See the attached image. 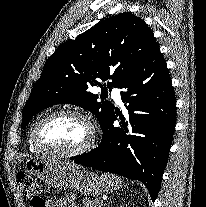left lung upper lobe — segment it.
<instances>
[{
    "label": "left lung upper lobe",
    "mask_w": 206,
    "mask_h": 207,
    "mask_svg": "<svg viewBox=\"0 0 206 207\" xmlns=\"http://www.w3.org/2000/svg\"><path fill=\"white\" fill-rule=\"evenodd\" d=\"M157 45L144 20L127 12L105 19L75 40L62 43L45 63L31 91L23 108L22 128L37 112L71 103L95 114L103 129L114 105L98 102L90 88L103 89L99 79L112 80L107 84L110 91L112 87L119 88Z\"/></svg>",
    "instance_id": "left-lung-upper-lobe-1"
}]
</instances>
